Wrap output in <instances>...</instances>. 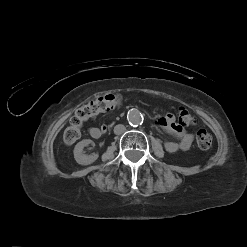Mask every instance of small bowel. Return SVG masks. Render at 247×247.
Listing matches in <instances>:
<instances>
[{
    "mask_svg": "<svg viewBox=\"0 0 247 247\" xmlns=\"http://www.w3.org/2000/svg\"><path fill=\"white\" fill-rule=\"evenodd\" d=\"M157 124L167 133L175 136L178 141H167L164 144L165 150L169 153L177 151H187L193 142V135L185 131L179 124L176 123L174 115L168 113L157 120ZM107 131L105 124L100 127H90L88 132L91 137L99 138Z\"/></svg>",
    "mask_w": 247,
    "mask_h": 247,
    "instance_id": "1",
    "label": "small bowel"
}]
</instances>
